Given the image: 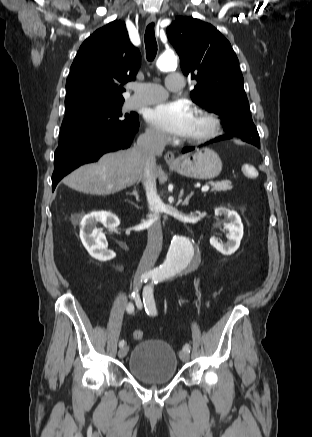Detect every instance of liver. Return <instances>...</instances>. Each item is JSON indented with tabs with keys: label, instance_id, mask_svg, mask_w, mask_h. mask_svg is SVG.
<instances>
[{
	"label": "liver",
	"instance_id": "1",
	"mask_svg": "<svg viewBox=\"0 0 312 437\" xmlns=\"http://www.w3.org/2000/svg\"><path fill=\"white\" fill-rule=\"evenodd\" d=\"M144 171L136 145L127 150L104 154L98 162L86 164L63 179V183L85 194L104 196L137 182ZM156 176L158 171L156 168Z\"/></svg>",
	"mask_w": 312,
	"mask_h": 437
}]
</instances>
